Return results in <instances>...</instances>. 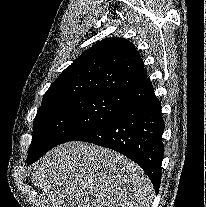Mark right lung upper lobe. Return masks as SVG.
Wrapping results in <instances>:
<instances>
[{
	"label": "right lung upper lobe",
	"mask_w": 206,
	"mask_h": 207,
	"mask_svg": "<svg viewBox=\"0 0 206 207\" xmlns=\"http://www.w3.org/2000/svg\"><path fill=\"white\" fill-rule=\"evenodd\" d=\"M146 79L143 60L132 43L108 38L79 56L55 80L42 103L88 95H126Z\"/></svg>",
	"instance_id": "1"
}]
</instances>
